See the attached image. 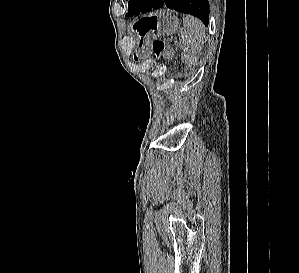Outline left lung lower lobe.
Instances as JSON below:
<instances>
[{
  "mask_svg": "<svg viewBox=\"0 0 299 273\" xmlns=\"http://www.w3.org/2000/svg\"><path fill=\"white\" fill-rule=\"evenodd\" d=\"M166 6L178 12L198 17L205 26L209 24V3L207 0H146L141 13Z\"/></svg>",
  "mask_w": 299,
  "mask_h": 273,
  "instance_id": "1",
  "label": "left lung lower lobe"
}]
</instances>
